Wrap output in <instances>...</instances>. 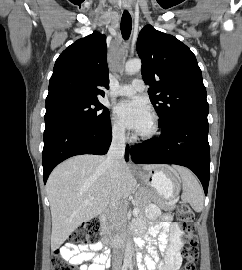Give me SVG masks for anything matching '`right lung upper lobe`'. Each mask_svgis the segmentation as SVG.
Masks as SVG:
<instances>
[{
	"label": "right lung upper lobe",
	"instance_id": "1",
	"mask_svg": "<svg viewBox=\"0 0 242 270\" xmlns=\"http://www.w3.org/2000/svg\"><path fill=\"white\" fill-rule=\"evenodd\" d=\"M106 37L94 32L75 41L57 58L46 106L68 100H93L109 88ZM98 100V99H97Z\"/></svg>",
	"mask_w": 242,
	"mask_h": 270
}]
</instances>
